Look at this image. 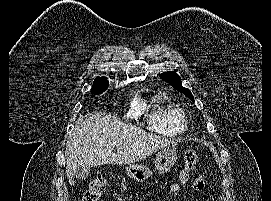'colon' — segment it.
I'll use <instances>...</instances> for the list:
<instances>
[{
    "label": "colon",
    "mask_w": 271,
    "mask_h": 201,
    "mask_svg": "<svg viewBox=\"0 0 271 201\" xmlns=\"http://www.w3.org/2000/svg\"><path fill=\"white\" fill-rule=\"evenodd\" d=\"M199 156L195 150H189L185 153L183 168L179 174L177 182L172 186L174 191L187 183L191 171L195 168ZM107 188V180L103 176L96 177L84 193L82 201H99L101 194Z\"/></svg>",
    "instance_id": "obj_1"
}]
</instances>
